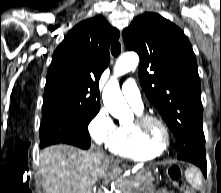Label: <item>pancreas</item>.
<instances>
[{"label": "pancreas", "instance_id": "pancreas-1", "mask_svg": "<svg viewBox=\"0 0 221 193\" xmlns=\"http://www.w3.org/2000/svg\"><path fill=\"white\" fill-rule=\"evenodd\" d=\"M155 178L152 176V172L149 169L140 170L134 179H127L124 181L122 187L123 193H135L137 190L148 193L151 191L153 181ZM137 182V184H135Z\"/></svg>", "mask_w": 221, "mask_h": 193}]
</instances>
